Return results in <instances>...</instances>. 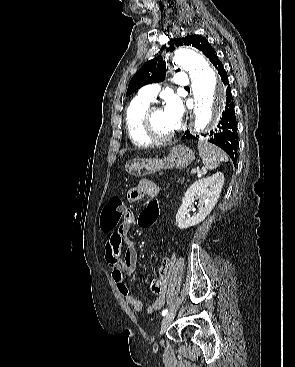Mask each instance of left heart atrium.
Returning <instances> with one entry per match:
<instances>
[{
    "instance_id": "1",
    "label": "left heart atrium",
    "mask_w": 295,
    "mask_h": 367,
    "mask_svg": "<svg viewBox=\"0 0 295 367\" xmlns=\"http://www.w3.org/2000/svg\"><path fill=\"white\" fill-rule=\"evenodd\" d=\"M163 111L172 128L177 129L181 124L184 113L181 100L175 95L168 96Z\"/></svg>"
}]
</instances>
